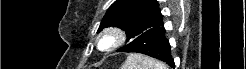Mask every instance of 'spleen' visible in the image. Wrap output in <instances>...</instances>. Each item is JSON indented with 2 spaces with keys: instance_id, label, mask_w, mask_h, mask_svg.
I'll use <instances>...</instances> for the list:
<instances>
[{
  "instance_id": "obj_1",
  "label": "spleen",
  "mask_w": 246,
  "mask_h": 69,
  "mask_svg": "<svg viewBox=\"0 0 246 69\" xmlns=\"http://www.w3.org/2000/svg\"><path fill=\"white\" fill-rule=\"evenodd\" d=\"M121 69H168V67L155 59L131 53L121 66Z\"/></svg>"
}]
</instances>
